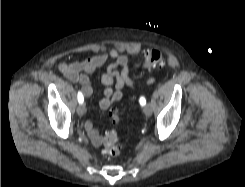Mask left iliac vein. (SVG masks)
I'll return each mask as SVG.
<instances>
[{
  "label": "left iliac vein",
  "mask_w": 245,
  "mask_h": 187,
  "mask_svg": "<svg viewBox=\"0 0 245 187\" xmlns=\"http://www.w3.org/2000/svg\"><path fill=\"white\" fill-rule=\"evenodd\" d=\"M143 112L146 116H151L152 114V108H151V105L150 104H146L144 105L143 107Z\"/></svg>",
  "instance_id": "left-iliac-vein-1"
}]
</instances>
